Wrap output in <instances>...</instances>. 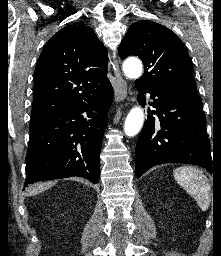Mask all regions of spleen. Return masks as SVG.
Wrapping results in <instances>:
<instances>
[{"instance_id":"obj_1","label":"spleen","mask_w":221,"mask_h":256,"mask_svg":"<svg viewBox=\"0 0 221 256\" xmlns=\"http://www.w3.org/2000/svg\"><path fill=\"white\" fill-rule=\"evenodd\" d=\"M174 177L178 184L196 200L203 211L209 208L211 185L201 170L191 166L179 167L174 170Z\"/></svg>"}]
</instances>
